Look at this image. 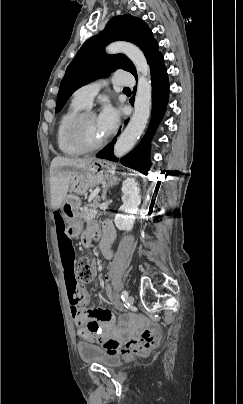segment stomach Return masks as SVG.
Listing matches in <instances>:
<instances>
[{"mask_svg": "<svg viewBox=\"0 0 243 404\" xmlns=\"http://www.w3.org/2000/svg\"><path fill=\"white\" fill-rule=\"evenodd\" d=\"M115 169V165L106 160L94 159L86 167L74 170L70 181V191L76 194H84L89 188L112 178L115 174ZM78 208L79 203L70 196H67L62 204V211L69 223L67 232L69 238L78 236L83 229Z\"/></svg>", "mask_w": 243, "mask_h": 404, "instance_id": "stomach-1", "label": "stomach"}]
</instances>
